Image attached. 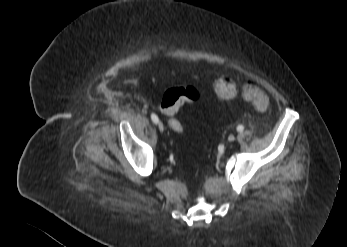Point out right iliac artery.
<instances>
[{
  "mask_svg": "<svg viewBox=\"0 0 347 247\" xmlns=\"http://www.w3.org/2000/svg\"><path fill=\"white\" fill-rule=\"evenodd\" d=\"M151 119H152V121L156 124V123H158V117H157V115L156 114H154V113H152L151 114Z\"/></svg>",
  "mask_w": 347,
  "mask_h": 247,
  "instance_id": "1",
  "label": "right iliac artery"
}]
</instances>
